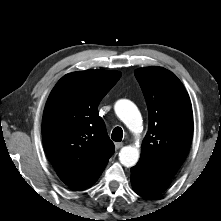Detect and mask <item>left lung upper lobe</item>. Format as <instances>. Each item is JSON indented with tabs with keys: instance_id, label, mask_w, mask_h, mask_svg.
Here are the masks:
<instances>
[{
	"instance_id": "left-lung-upper-lobe-1",
	"label": "left lung upper lobe",
	"mask_w": 221,
	"mask_h": 221,
	"mask_svg": "<svg viewBox=\"0 0 221 221\" xmlns=\"http://www.w3.org/2000/svg\"><path fill=\"white\" fill-rule=\"evenodd\" d=\"M149 116L140 162L173 178L184 162L193 136L190 98L181 81L162 67L137 69Z\"/></svg>"
}]
</instances>
